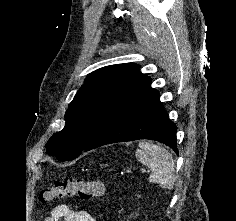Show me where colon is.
<instances>
[{
    "label": "colon",
    "mask_w": 236,
    "mask_h": 221,
    "mask_svg": "<svg viewBox=\"0 0 236 221\" xmlns=\"http://www.w3.org/2000/svg\"><path fill=\"white\" fill-rule=\"evenodd\" d=\"M105 190V184L101 181H85L75 177H64L44 187L39 194V200L41 203L47 204L74 196L81 199H91L103 196Z\"/></svg>",
    "instance_id": "obj_1"
}]
</instances>
